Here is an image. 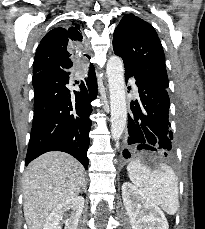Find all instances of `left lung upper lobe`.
Wrapping results in <instances>:
<instances>
[{
    "mask_svg": "<svg viewBox=\"0 0 205 229\" xmlns=\"http://www.w3.org/2000/svg\"><path fill=\"white\" fill-rule=\"evenodd\" d=\"M113 49L125 69L168 88L163 48L149 23L133 14L125 15L114 31Z\"/></svg>",
    "mask_w": 205,
    "mask_h": 229,
    "instance_id": "left-lung-upper-lobe-1",
    "label": "left lung upper lobe"
}]
</instances>
